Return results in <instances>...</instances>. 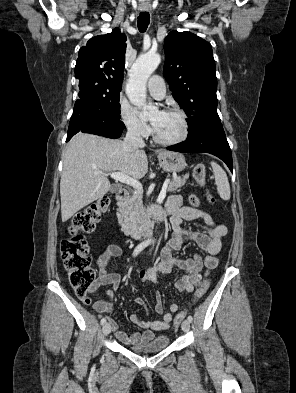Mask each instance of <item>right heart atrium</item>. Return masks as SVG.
I'll list each match as a JSON object with an SVG mask.
<instances>
[{"label":"right heart atrium","instance_id":"d8ad5b80","mask_svg":"<svg viewBox=\"0 0 296 393\" xmlns=\"http://www.w3.org/2000/svg\"><path fill=\"white\" fill-rule=\"evenodd\" d=\"M119 116L132 135L145 138L150 134L149 124L138 115L133 107L124 101L119 104Z\"/></svg>","mask_w":296,"mask_h":393}]
</instances>
